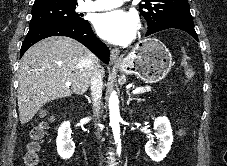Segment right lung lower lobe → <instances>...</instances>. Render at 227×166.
I'll list each match as a JSON object with an SVG mask.
<instances>
[{"mask_svg":"<svg viewBox=\"0 0 227 166\" xmlns=\"http://www.w3.org/2000/svg\"><path fill=\"white\" fill-rule=\"evenodd\" d=\"M51 36L71 37L85 45L105 64L109 63V49L95 36L89 23L85 25L53 23L29 30L21 47V56L36 42Z\"/></svg>","mask_w":227,"mask_h":166,"instance_id":"1","label":"right lung lower lobe"}]
</instances>
